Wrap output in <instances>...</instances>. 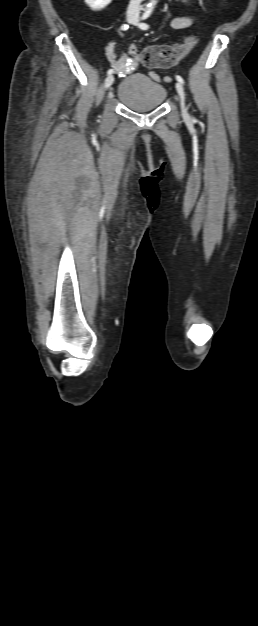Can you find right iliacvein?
I'll return each mask as SVG.
<instances>
[{"label": "right iliac vein", "mask_w": 258, "mask_h": 626, "mask_svg": "<svg viewBox=\"0 0 258 626\" xmlns=\"http://www.w3.org/2000/svg\"><path fill=\"white\" fill-rule=\"evenodd\" d=\"M135 20H136V19H135L134 17H132V16H130V17H128V18H127V21H128L129 23H132V24L135 22ZM113 82H114V76H113V75H109V76L105 79V88H106V89L110 88V86L113 84Z\"/></svg>", "instance_id": "obj_1"}]
</instances>
